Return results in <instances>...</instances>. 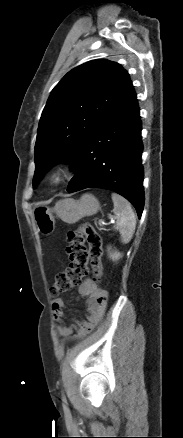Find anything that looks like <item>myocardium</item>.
<instances>
[{
	"mask_svg": "<svg viewBox=\"0 0 183 438\" xmlns=\"http://www.w3.org/2000/svg\"><path fill=\"white\" fill-rule=\"evenodd\" d=\"M69 176V168L65 165H58L48 175V182L52 186H59Z\"/></svg>",
	"mask_w": 183,
	"mask_h": 438,
	"instance_id": "1",
	"label": "myocardium"
}]
</instances>
